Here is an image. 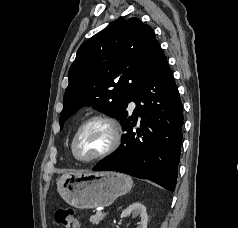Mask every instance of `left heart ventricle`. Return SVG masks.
I'll return each instance as SVG.
<instances>
[{"mask_svg":"<svg viewBox=\"0 0 238 228\" xmlns=\"http://www.w3.org/2000/svg\"><path fill=\"white\" fill-rule=\"evenodd\" d=\"M110 142L109 128L101 122H95L81 132L76 143V153L80 158H91L103 152Z\"/></svg>","mask_w":238,"mask_h":228,"instance_id":"left-heart-ventricle-1","label":"left heart ventricle"}]
</instances>
